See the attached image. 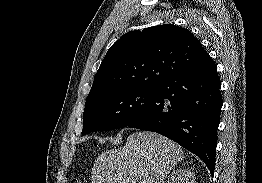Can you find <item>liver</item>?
<instances>
[{
	"mask_svg": "<svg viewBox=\"0 0 262 183\" xmlns=\"http://www.w3.org/2000/svg\"><path fill=\"white\" fill-rule=\"evenodd\" d=\"M183 159V148L172 140L154 132H135L122 148L97 157L91 183H164Z\"/></svg>",
	"mask_w": 262,
	"mask_h": 183,
	"instance_id": "1",
	"label": "liver"
}]
</instances>
